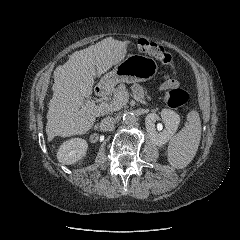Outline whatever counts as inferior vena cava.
<instances>
[{
	"label": "inferior vena cava",
	"mask_w": 240,
	"mask_h": 240,
	"mask_svg": "<svg viewBox=\"0 0 240 240\" xmlns=\"http://www.w3.org/2000/svg\"><path fill=\"white\" fill-rule=\"evenodd\" d=\"M116 120L113 117H106L100 122L99 129L101 131H111L114 129Z\"/></svg>",
	"instance_id": "602c4592"
}]
</instances>
